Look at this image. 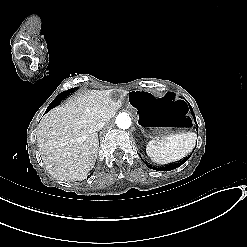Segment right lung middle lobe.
<instances>
[{
	"instance_id": "obj_1",
	"label": "right lung middle lobe",
	"mask_w": 247,
	"mask_h": 247,
	"mask_svg": "<svg viewBox=\"0 0 247 247\" xmlns=\"http://www.w3.org/2000/svg\"><path fill=\"white\" fill-rule=\"evenodd\" d=\"M75 89H76V88H74V89L72 88L71 91H73V90H75Z\"/></svg>"
}]
</instances>
